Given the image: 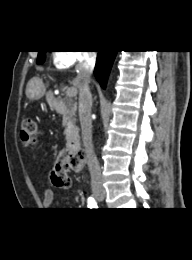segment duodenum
I'll return each mask as SVG.
<instances>
[{
    "mask_svg": "<svg viewBox=\"0 0 192 260\" xmlns=\"http://www.w3.org/2000/svg\"><path fill=\"white\" fill-rule=\"evenodd\" d=\"M57 110L60 113H65V109L62 105H57ZM67 152L71 154H78L81 153L82 148L80 144V137H79V132L76 127H73L71 129L68 141H67V146H66Z\"/></svg>",
    "mask_w": 192,
    "mask_h": 260,
    "instance_id": "1",
    "label": "duodenum"
}]
</instances>
